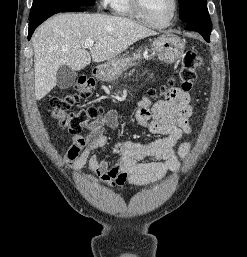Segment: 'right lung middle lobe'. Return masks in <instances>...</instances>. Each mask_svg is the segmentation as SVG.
<instances>
[{
    "label": "right lung middle lobe",
    "instance_id": "dd1d6c3e",
    "mask_svg": "<svg viewBox=\"0 0 247 257\" xmlns=\"http://www.w3.org/2000/svg\"><path fill=\"white\" fill-rule=\"evenodd\" d=\"M94 4L95 0H33L29 17L53 8L84 7L93 6Z\"/></svg>",
    "mask_w": 247,
    "mask_h": 257
}]
</instances>
